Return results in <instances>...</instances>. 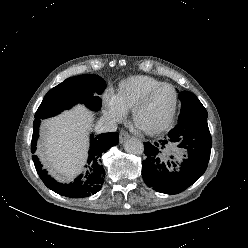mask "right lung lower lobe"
Instances as JSON below:
<instances>
[{
    "label": "right lung lower lobe",
    "instance_id": "1",
    "mask_svg": "<svg viewBox=\"0 0 248 248\" xmlns=\"http://www.w3.org/2000/svg\"><path fill=\"white\" fill-rule=\"evenodd\" d=\"M40 120H34L33 122V135L31 142V152L34 154L36 151V143L38 139V131ZM90 150L88 157V170L83 175H80L71 184L57 183L42 169L36 155L32 156L35 168L44 184L54 192L72 198L87 197L91 194L98 192L104 182L105 170L101 165V156L104 152L109 150L112 146L118 144L119 135L116 132L102 133L100 135L91 136L90 138Z\"/></svg>",
    "mask_w": 248,
    "mask_h": 248
}]
</instances>
